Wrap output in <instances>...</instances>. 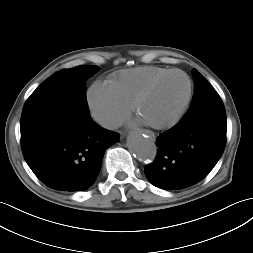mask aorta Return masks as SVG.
Instances as JSON below:
<instances>
[{
  "label": "aorta",
  "mask_w": 253,
  "mask_h": 253,
  "mask_svg": "<svg viewBox=\"0 0 253 253\" xmlns=\"http://www.w3.org/2000/svg\"><path fill=\"white\" fill-rule=\"evenodd\" d=\"M131 153L140 161L151 162L157 154L153 139L142 133H132L127 141Z\"/></svg>",
  "instance_id": "1"
}]
</instances>
